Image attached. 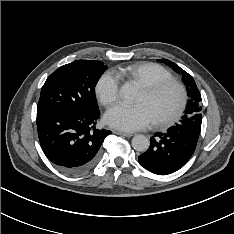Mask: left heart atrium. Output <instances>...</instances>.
Instances as JSON below:
<instances>
[{
  "label": "left heart atrium",
  "instance_id": "39dd6f15",
  "mask_svg": "<svg viewBox=\"0 0 234 234\" xmlns=\"http://www.w3.org/2000/svg\"><path fill=\"white\" fill-rule=\"evenodd\" d=\"M104 119L109 126L128 132L144 129L154 122L144 104H118L106 112Z\"/></svg>",
  "mask_w": 234,
  "mask_h": 234
}]
</instances>
